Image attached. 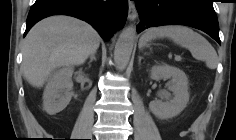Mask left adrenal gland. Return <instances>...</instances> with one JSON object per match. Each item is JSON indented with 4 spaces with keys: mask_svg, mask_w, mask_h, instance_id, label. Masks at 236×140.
<instances>
[{
    "mask_svg": "<svg viewBox=\"0 0 236 140\" xmlns=\"http://www.w3.org/2000/svg\"><path fill=\"white\" fill-rule=\"evenodd\" d=\"M141 60H142V57H139V59H138L139 65L141 64Z\"/></svg>",
    "mask_w": 236,
    "mask_h": 140,
    "instance_id": "a2214340",
    "label": "left adrenal gland"
}]
</instances>
